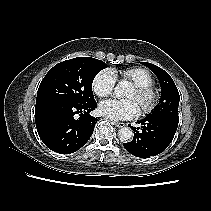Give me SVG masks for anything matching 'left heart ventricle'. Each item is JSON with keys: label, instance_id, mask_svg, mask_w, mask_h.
<instances>
[{"label": "left heart ventricle", "instance_id": "left-heart-ventricle-1", "mask_svg": "<svg viewBox=\"0 0 211 211\" xmlns=\"http://www.w3.org/2000/svg\"><path fill=\"white\" fill-rule=\"evenodd\" d=\"M126 98L134 100L140 107L141 102L134 88L127 94Z\"/></svg>", "mask_w": 211, "mask_h": 211}]
</instances>
